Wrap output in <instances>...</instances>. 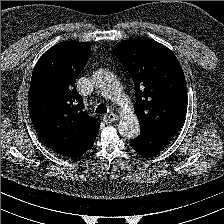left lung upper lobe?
Instances as JSON below:
<instances>
[{
	"label": "left lung upper lobe",
	"instance_id": "5c2ea615",
	"mask_svg": "<svg viewBox=\"0 0 224 224\" xmlns=\"http://www.w3.org/2000/svg\"><path fill=\"white\" fill-rule=\"evenodd\" d=\"M135 84L140 129L171 140L187 112V88L173 52L149 38L119 43L114 50Z\"/></svg>",
	"mask_w": 224,
	"mask_h": 224
}]
</instances>
